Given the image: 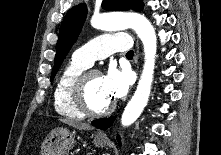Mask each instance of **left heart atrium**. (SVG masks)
<instances>
[{"mask_svg": "<svg viewBox=\"0 0 221 155\" xmlns=\"http://www.w3.org/2000/svg\"><path fill=\"white\" fill-rule=\"evenodd\" d=\"M129 82V74L125 71H120L113 66L110 67L107 73L103 76L105 91L112 100L118 99L126 94Z\"/></svg>", "mask_w": 221, "mask_h": 155, "instance_id": "1", "label": "left heart atrium"}]
</instances>
